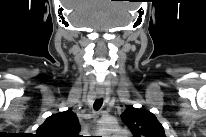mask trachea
I'll list each match as a JSON object with an SVG mask.
<instances>
[{"label":"trachea","mask_w":206,"mask_h":137,"mask_svg":"<svg viewBox=\"0 0 206 137\" xmlns=\"http://www.w3.org/2000/svg\"><path fill=\"white\" fill-rule=\"evenodd\" d=\"M103 104V99H97L95 102H94V109L97 111L101 108Z\"/></svg>","instance_id":"trachea-1"}]
</instances>
